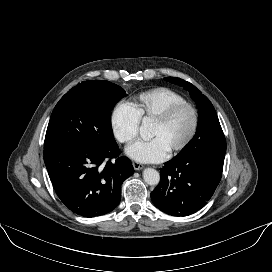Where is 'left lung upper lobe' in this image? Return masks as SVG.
Segmentation results:
<instances>
[{
  "mask_svg": "<svg viewBox=\"0 0 272 272\" xmlns=\"http://www.w3.org/2000/svg\"><path fill=\"white\" fill-rule=\"evenodd\" d=\"M166 81L183 86L196 102L199 115L195 136L176 157L196 155L224 162L226 140L216 111L210 100L191 83L176 77H166Z\"/></svg>",
  "mask_w": 272,
  "mask_h": 272,
  "instance_id": "1",
  "label": "left lung upper lobe"
}]
</instances>
